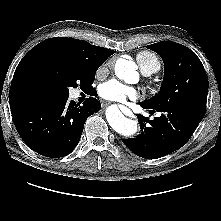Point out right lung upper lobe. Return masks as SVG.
I'll return each mask as SVG.
<instances>
[{"mask_svg": "<svg viewBox=\"0 0 221 221\" xmlns=\"http://www.w3.org/2000/svg\"><path fill=\"white\" fill-rule=\"evenodd\" d=\"M115 51L67 37L47 39L33 47L20 61L14 73L9 98L17 92L38 93L25 80V70L34 61L63 55L73 58L91 68H99Z\"/></svg>", "mask_w": 221, "mask_h": 221, "instance_id": "right-lung-upper-lobe-1", "label": "right lung upper lobe"}]
</instances>
